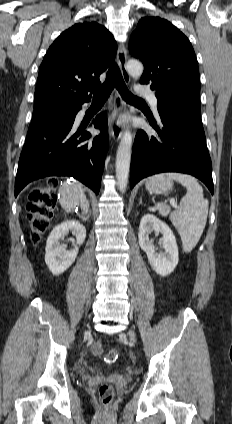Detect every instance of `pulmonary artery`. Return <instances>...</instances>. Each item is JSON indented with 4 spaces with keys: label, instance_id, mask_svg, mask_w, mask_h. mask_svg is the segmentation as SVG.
Masks as SVG:
<instances>
[{
    "label": "pulmonary artery",
    "instance_id": "obj_1",
    "mask_svg": "<svg viewBox=\"0 0 232 424\" xmlns=\"http://www.w3.org/2000/svg\"><path fill=\"white\" fill-rule=\"evenodd\" d=\"M136 92L139 95H142V96H145V97L148 98V100L151 103L153 112L155 113L156 116H158V109H157L158 99L155 96V94L150 89H148L147 87L140 86V85L136 87Z\"/></svg>",
    "mask_w": 232,
    "mask_h": 424
}]
</instances>
